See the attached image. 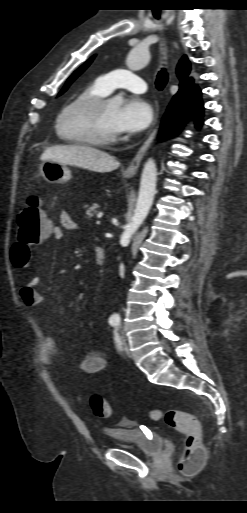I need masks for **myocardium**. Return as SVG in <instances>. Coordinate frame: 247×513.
<instances>
[{"label": "myocardium", "instance_id": "myocardium-1", "mask_svg": "<svg viewBox=\"0 0 247 513\" xmlns=\"http://www.w3.org/2000/svg\"><path fill=\"white\" fill-rule=\"evenodd\" d=\"M109 101H111V99L106 96H90L65 106L58 116V129L66 136L79 143L96 146L113 145L118 140V134L104 136L95 134L90 130L71 132L66 126V119L72 113L82 116L86 121H94Z\"/></svg>", "mask_w": 247, "mask_h": 513}]
</instances>
